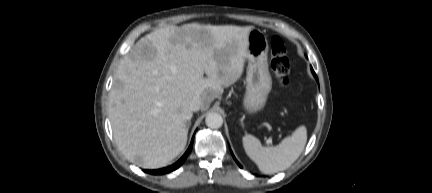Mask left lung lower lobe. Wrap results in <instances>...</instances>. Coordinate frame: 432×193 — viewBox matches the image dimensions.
I'll list each match as a JSON object with an SVG mask.
<instances>
[{
  "label": "left lung lower lobe",
  "mask_w": 432,
  "mask_h": 193,
  "mask_svg": "<svg viewBox=\"0 0 432 193\" xmlns=\"http://www.w3.org/2000/svg\"><path fill=\"white\" fill-rule=\"evenodd\" d=\"M311 70H312V73H313V75L315 76V78H316V80L318 81V78H317V76H316V74H315V72H314V70H313V68L311 67ZM235 161L237 162V164L241 167V165L239 164V162L235 159Z\"/></svg>",
  "instance_id": "1"
}]
</instances>
